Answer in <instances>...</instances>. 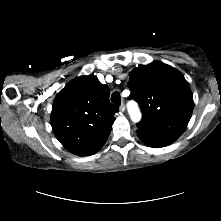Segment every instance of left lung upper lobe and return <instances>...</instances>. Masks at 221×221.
Wrapping results in <instances>:
<instances>
[{
    "label": "left lung upper lobe",
    "instance_id": "1",
    "mask_svg": "<svg viewBox=\"0 0 221 221\" xmlns=\"http://www.w3.org/2000/svg\"><path fill=\"white\" fill-rule=\"evenodd\" d=\"M130 98L142 109L138 128L157 135L178 138L193 110V96L184 76L159 61L140 65L130 73Z\"/></svg>",
    "mask_w": 221,
    "mask_h": 221
}]
</instances>
